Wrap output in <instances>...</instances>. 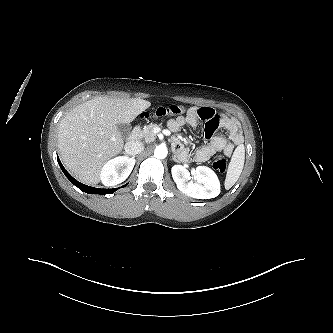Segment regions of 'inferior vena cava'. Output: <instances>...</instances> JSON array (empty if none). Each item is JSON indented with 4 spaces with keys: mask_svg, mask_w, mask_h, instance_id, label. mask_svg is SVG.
<instances>
[{
    "mask_svg": "<svg viewBox=\"0 0 333 333\" xmlns=\"http://www.w3.org/2000/svg\"><path fill=\"white\" fill-rule=\"evenodd\" d=\"M124 149L126 154L137 155L144 150V145L140 141H129L125 144Z\"/></svg>",
    "mask_w": 333,
    "mask_h": 333,
    "instance_id": "inferior-vena-cava-1",
    "label": "inferior vena cava"
}]
</instances>
